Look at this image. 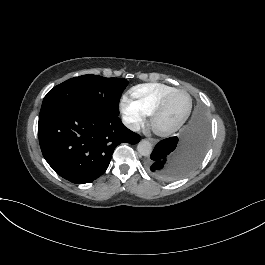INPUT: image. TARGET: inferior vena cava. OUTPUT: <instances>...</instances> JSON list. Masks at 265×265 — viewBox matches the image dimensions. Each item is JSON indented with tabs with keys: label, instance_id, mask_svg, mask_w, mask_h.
<instances>
[{
	"label": "inferior vena cava",
	"instance_id": "inferior-vena-cava-1",
	"mask_svg": "<svg viewBox=\"0 0 265 265\" xmlns=\"http://www.w3.org/2000/svg\"><path fill=\"white\" fill-rule=\"evenodd\" d=\"M125 126L133 132H138L140 130V125L137 122L128 121L127 117L123 118Z\"/></svg>",
	"mask_w": 265,
	"mask_h": 265
}]
</instances>
